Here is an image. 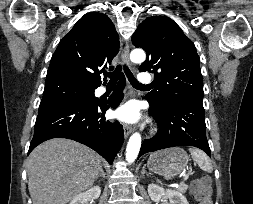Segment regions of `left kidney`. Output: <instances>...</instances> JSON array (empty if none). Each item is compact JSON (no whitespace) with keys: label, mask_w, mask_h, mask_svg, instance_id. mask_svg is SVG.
<instances>
[{"label":"left kidney","mask_w":253,"mask_h":204,"mask_svg":"<svg viewBox=\"0 0 253 204\" xmlns=\"http://www.w3.org/2000/svg\"><path fill=\"white\" fill-rule=\"evenodd\" d=\"M148 194L152 201L159 202L162 198L167 197L170 201V204H189L186 197L182 193L172 190V189H163L162 187L156 184L148 185Z\"/></svg>","instance_id":"1"}]
</instances>
